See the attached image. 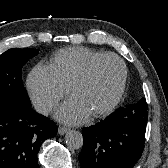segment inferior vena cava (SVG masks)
Segmentation results:
<instances>
[{
    "label": "inferior vena cava",
    "mask_w": 168,
    "mask_h": 168,
    "mask_svg": "<svg viewBox=\"0 0 168 168\" xmlns=\"http://www.w3.org/2000/svg\"><path fill=\"white\" fill-rule=\"evenodd\" d=\"M35 108L38 113L46 115L51 110V105L42 103V104L36 105Z\"/></svg>",
    "instance_id": "1"
}]
</instances>
